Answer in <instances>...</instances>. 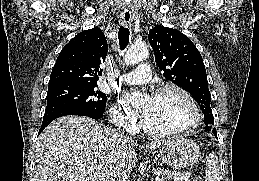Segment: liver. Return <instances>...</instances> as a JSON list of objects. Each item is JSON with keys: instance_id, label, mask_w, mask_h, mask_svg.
Listing matches in <instances>:
<instances>
[{"instance_id": "6515ba94", "label": "liver", "mask_w": 259, "mask_h": 181, "mask_svg": "<svg viewBox=\"0 0 259 181\" xmlns=\"http://www.w3.org/2000/svg\"><path fill=\"white\" fill-rule=\"evenodd\" d=\"M163 143L155 141L147 148ZM135 148L137 144L116 129L87 117L64 116L38 137L35 181H110L113 176L125 181L138 161Z\"/></svg>"}]
</instances>
